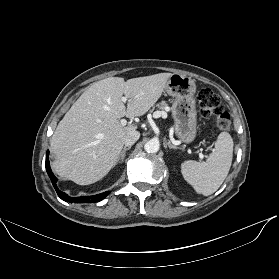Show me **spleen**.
I'll use <instances>...</instances> for the list:
<instances>
[{"mask_svg": "<svg viewBox=\"0 0 279 279\" xmlns=\"http://www.w3.org/2000/svg\"><path fill=\"white\" fill-rule=\"evenodd\" d=\"M232 158L233 139L229 133L221 132L206 162L185 161L181 164V173L198 194L209 196L224 182L229 173Z\"/></svg>", "mask_w": 279, "mask_h": 279, "instance_id": "obj_1", "label": "spleen"}]
</instances>
